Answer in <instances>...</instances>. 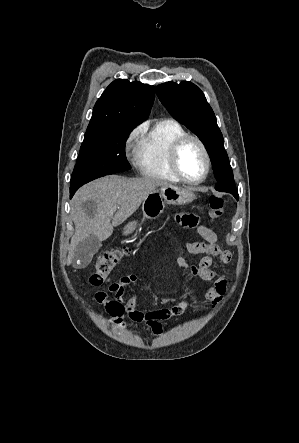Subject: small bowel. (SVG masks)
Here are the masks:
<instances>
[{
  "instance_id": "small-bowel-1",
  "label": "small bowel",
  "mask_w": 299,
  "mask_h": 443,
  "mask_svg": "<svg viewBox=\"0 0 299 443\" xmlns=\"http://www.w3.org/2000/svg\"><path fill=\"white\" fill-rule=\"evenodd\" d=\"M175 222L184 228L195 229L197 234L204 240L187 241L185 248L191 255H203L202 259L192 264L184 257L177 258V264L188 271L193 276L200 278L205 282H213L205 292L204 297L211 305L217 304L227 289L226 277L213 269L214 262L227 264L231 260V254L228 250L221 248L218 244L216 233L201 225L199 217L195 214H176ZM137 276L129 274L112 283L107 291H99L95 294V300L101 304L107 313L112 317V325L123 329L126 326L125 316L134 322H145L155 335L162 333V321L171 317L182 315L190 306L192 299L190 296H184L176 305L161 308L154 311L143 312L137 309L136 297H125V290L131 284L135 283Z\"/></svg>"
}]
</instances>
